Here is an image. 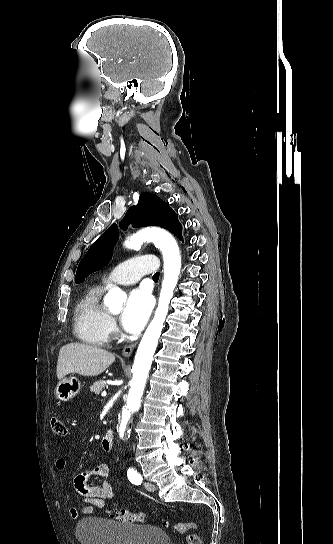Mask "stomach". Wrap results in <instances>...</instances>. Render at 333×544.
Returning <instances> with one entry per match:
<instances>
[{"mask_svg": "<svg viewBox=\"0 0 333 544\" xmlns=\"http://www.w3.org/2000/svg\"><path fill=\"white\" fill-rule=\"evenodd\" d=\"M80 390L81 383L76 378L64 377L60 379L54 392L57 399L67 402L77 396Z\"/></svg>", "mask_w": 333, "mask_h": 544, "instance_id": "obj_1", "label": "stomach"}]
</instances>
